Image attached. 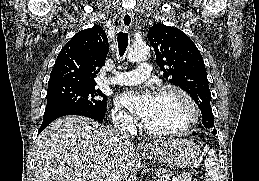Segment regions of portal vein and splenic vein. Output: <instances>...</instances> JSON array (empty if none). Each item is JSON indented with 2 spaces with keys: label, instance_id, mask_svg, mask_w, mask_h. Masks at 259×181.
Returning <instances> with one entry per match:
<instances>
[{
  "label": "portal vein and splenic vein",
  "instance_id": "18ae733b",
  "mask_svg": "<svg viewBox=\"0 0 259 181\" xmlns=\"http://www.w3.org/2000/svg\"><path fill=\"white\" fill-rule=\"evenodd\" d=\"M170 176L171 175H164V176L161 177L160 180H157V181H168Z\"/></svg>",
  "mask_w": 259,
  "mask_h": 181
}]
</instances>
